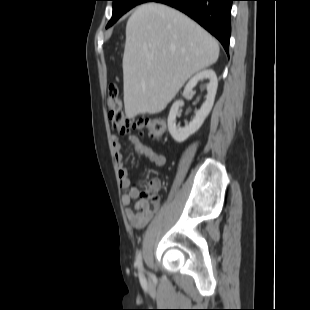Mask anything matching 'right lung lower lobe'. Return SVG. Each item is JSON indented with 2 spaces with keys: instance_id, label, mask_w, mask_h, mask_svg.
Returning <instances> with one entry per match:
<instances>
[{
  "instance_id": "right-lung-lower-lobe-1",
  "label": "right lung lower lobe",
  "mask_w": 310,
  "mask_h": 310,
  "mask_svg": "<svg viewBox=\"0 0 310 310\" xmlns=\"http://www.w3.org/2000/svg\"><path fill=\"white\" fill-rule=\"evenodd\" d=\"M174 7L198 22L229 49L231 7L234 0H149Z\"/></svg>"
}]
</instances>
